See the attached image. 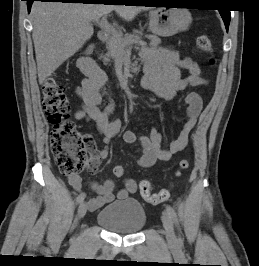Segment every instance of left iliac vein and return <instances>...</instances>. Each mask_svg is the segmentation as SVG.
Masks as SVG:
<instances>
[{"instance_id":"left-iliac-vein-1","label":"left iliac vein","mask_w":259,"mask_h":266,"mask_svg":"<svg viewBox=\"0 0 259 266\" xmlns=\"http://www.w3.org/2000/svg\"><path fill=\"white\" fill-rule=\"evenodd\" d=\"M161 219L165 229L167 242L170 246L174 247L177 244V238L174 232L173 222L167 213H163Z\"/></svg>"}]
</instances>
